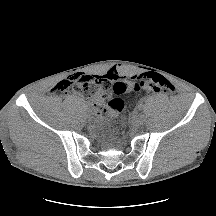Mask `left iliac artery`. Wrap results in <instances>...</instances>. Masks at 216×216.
<instances>
[{"instance_id":"1","label":"left iliac artery","mask_w":216,"mask_h":216,"mask_svg":"<svg viewBox=\"0 0 216 216\" xmlns=\"http://www.w3.org/2000/svg\"><path fill=\"white\" fill-rule=\"evenodd\" d=\"M142 107H143V105H142V104H139L137 108H138L139 110H141Z\"/></svg>"}]
</instances>
